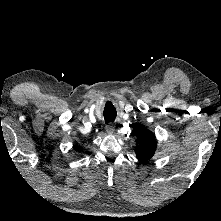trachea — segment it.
Returning a JSON list of instances; mask_svg holds the SVG:
<instances>
[{
  "instance_id": "trachea-1",
  "label": "trachea",
  "mask_w": 221,
  "mask_h": 221,
  "mask_svg": "<svg viewBox=\"0 0 221 221\" xmlns=\"http://www.w3.org/2000/svg\"><path fill=\"white\" fill-rule=\"evenodd\" d=\"M105 123L113 122L116 118V109L112 107L111 109L105 108L104 110Z\"/></svg>"
}]
</instances>
